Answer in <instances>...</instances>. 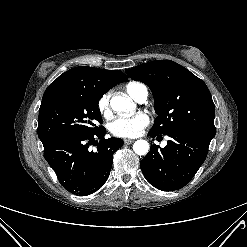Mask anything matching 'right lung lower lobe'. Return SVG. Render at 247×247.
Instances as JSON below:
<instances>
[{"label":"right lung lower lobe","instance_id":"right-lung-lower-lobe-1","mask_svg":"<svg viewBox=\"0 0 247 247\" xmlns=\"http://www.w3.org/2000/svg\"><path fill=\"white\" fill-rule=\"evenodd\" d=\"M105 133L101 127L93 133L66 135L43 144L44 158L60 184L71 193L88 195L107 181L113 154L123 140L105 139ZM92 144L97 146L95 151L90 148Z\"/></svg>","mask_w":247,"mask_h":247}]
</instances>
